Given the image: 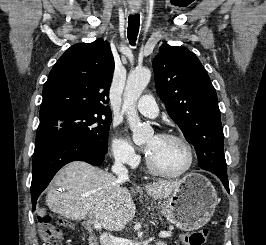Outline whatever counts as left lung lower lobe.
Returning a JSON list of instances; mask_svg holds the SVG:
<instances>
[{"mask_svg":"<svg viewBox=\"0 0 266 245\" xmlns=\"http://www.w3.org/2000/svg\"><path fill=\"white\" fill-rule=\"evenodd\" d=\"M217 176L221 179V181H222L224 187L226 188V190L228 191V193H230L227 174L226 175L225 174H219Z\"/></svg>","mask_w":266,"mask_h":245,"instance_id":"1","label":"left lung lower lobe"}]
</instances>
